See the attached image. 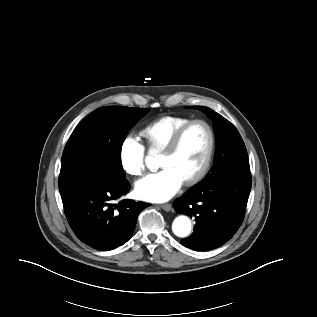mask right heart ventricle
<instances>
[{
    "mask_svg": "<svg viewBox=\"0 0 317 317\" xmlns=\"http://www.w3.org/2000/svg\"><path fill=\"white\" fill-rule=\"evenodd\" d=\"M189 121L183 116H163L145 125L140 135L149 150L162 152L175 132Z\"/></svg>",
    "mask_w": 317,
    "mask_h": 317,
    "instance_id": "e07e8e85",
    "label": "right heart ventricle"
}]
</instances>
